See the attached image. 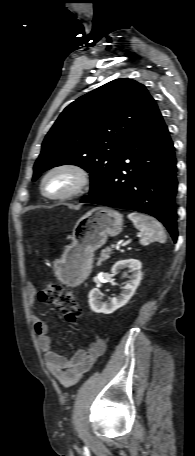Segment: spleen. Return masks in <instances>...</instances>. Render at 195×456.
Instances as JSON below:
<instances>
[{
	"instance_id": "obj_1",
	"label": "spleen",
	"mask_w": 195,
	"mask_h": 456,
	"mask_svg": "<svg viewBox=\"0 0 195 456\" xmlns=\"http://www.w3.org/2000/svg\"><path fill=\"white\" fill-rule=\"evenodd\" d=\"M128 218L142 234L140 239L141 245L146 246L154 240L160 242L166 241V234L163 227L155 218L136 212L129 213Z\"/></svg>"
}]
</instances>
